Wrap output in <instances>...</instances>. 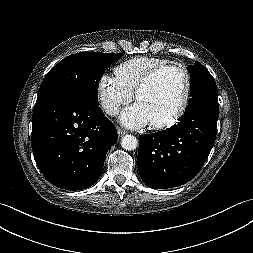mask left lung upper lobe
<instances>
[{
  "label": "left lung upper lobe",
  "mask_w": 253,
  "mask_h": 253,
  "mask_svg": "<svg viewBox=\"0 0 253 253\" xmlns=\"http://www.w3.org/2000/svg\"><path fill=\"white\" fill-rule=\"evenodd\" d=\"M190 72V96L189 103L185 112L203 104H217V86L214 78L209 71L199 62L189 66Z\"/></svg>",
  "instance_id": "obj_1"
}]
</instances>
